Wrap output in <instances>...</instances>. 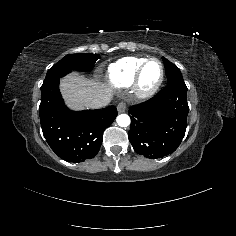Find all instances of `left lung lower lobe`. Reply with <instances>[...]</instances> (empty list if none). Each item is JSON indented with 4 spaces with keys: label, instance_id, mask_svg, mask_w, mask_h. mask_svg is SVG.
I'll return each mask as SVG.
<instances>
[{
    "label": "left lung lower lobe",
    "instance_id": "0a47b994",
    "mask_svg": "<svg viewBox=\"0 0 236 236\" xmlns=\"http://www.w3.org/2000/svg\"><path fill=\"white\" fill-rule=\"evenodd\" d=\"M188 111L184 81L169 83L153 98L133 105L128 137L136 153L157 159L174 152L185 135Z\"/></svg>",
    "mask_w": 236,
    "mask_h": 236
}]
</instances>
